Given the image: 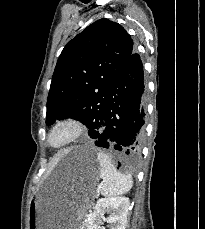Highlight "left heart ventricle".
<instances>
[{"mask_svg":"<svg viewBox=\"0 0 205 229\" xmlns=\"http://www.w3.org/2000/svg\"><path fill=\"white\" fill-rule=\"evenodd\" d=\"M67 136V131L66 130H59L56 135L54 136V141L58 142L63 140Z\"/></svg>","mask_w":205,"mask_h":229,"instance_id":"left-heart-ventricle-1","label":"left heart ventricle"}]
</instances>
